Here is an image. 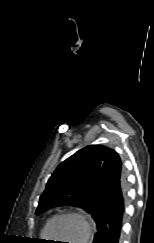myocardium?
<instances>
[{
    "instance_id": "obj_1",
    "label": "myocardium",
    "mask_w": 154,
    "mask_h": 243,
    "mask_svg": "<svg viewBox=\"0 0 154 243\" xmlns=\"http://www.w3.org/2000/svg\"><path fill=\"white\" fill-rule=\"evenodd\" d=\"M64 217L77 219L81 223L82 236H81L79 243H87V241L90 237V234H91V226H90L87 218L83 214H81L79 212H74V211L60 212V213L55 214L53 217H51L50 220L46 224L44 236H49V230L55 220H57L59 218H64Z\"/></svg>"
}]
</instances>
